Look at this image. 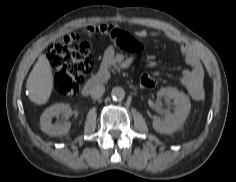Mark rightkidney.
Segmentation results:
<instances>
[{
  "label": "right kidney",
  "instance_id": "obj_1",
  "mask_svg": "<svg viewBox=\"0 0 236 182\" xmlns=\"http://www.w3.org/2000/svg\"><path fill=\"white\" fill-rule=\"evenodd\" d=\"M62 115L65 118L63 123H52L54 116ZM72 115L71 107L68 104L58 103L47 108L40 117L41 130L50 136L66 135L70 130L71 123L66 121Z\"/></svg>",
  "mask_w": 236,
  "mask_h": 182
}]
</instances>
